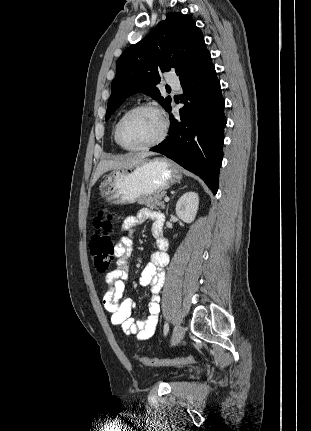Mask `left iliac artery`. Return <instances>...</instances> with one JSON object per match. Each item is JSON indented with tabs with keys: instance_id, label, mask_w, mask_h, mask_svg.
<instances>
[{
	"instance_id": "1",
	"label": "left iliac artery",
	"mask_w": 311,
	"mask_h": 431,
	"mask_svg": "<svg viewBox=\"0 0 311 431\" xmlns=\"http://www.w3.org/2000/svg\"><path fill=\"white\" fill-rule=\"evenodd\" d=\"M168 331H169V325H168V323H165L164 329H163V332H164L165 336L167 335Z\"/></svg>"
}]
</instances>
